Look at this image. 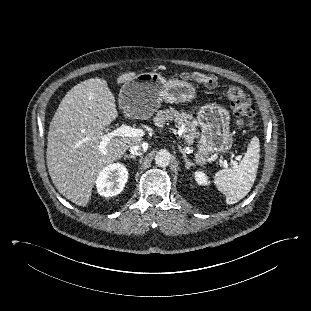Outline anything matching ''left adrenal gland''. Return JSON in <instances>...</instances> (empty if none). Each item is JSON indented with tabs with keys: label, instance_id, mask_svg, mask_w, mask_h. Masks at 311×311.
I'll use <instances>...</instances> for the list:
<instances>
[{
	"label": "left adrenal gland",
	"instance_id": "1",
	"mask_svg": "<svg viewBox=\"0 0 311 311\" xmlns=\"http://www.w3.org/2000/svg\"><path fill=\"white\" fill-rule=\"evenodd\" d=\"M178 149H179V151H180V152L182 153V155H183V159H184V162H185V167H186L187 169H190V167L192 166V163H191L190 160L187 158V156H186L184 150L182 149V147H181V146H178Z\"/></svg>",
	"mask_w": 311,
	"mask_h": 311
}]
</instances>
